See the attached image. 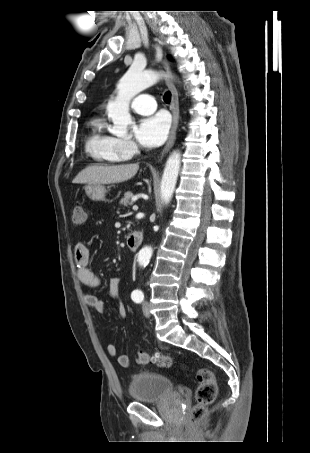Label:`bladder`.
I'll use <instances>...</instances> for the list:
<instances>
[{"label": "bladder", "mask_w": 310, "mask_h": 453, "mask_svg": "<svg viewBox=\"0 0 310 453\" xmlns=\"http://www.w3.org/2000/svg\"><path fill=\"white\" fill-rule=\"evenodd\" d=\"M128 393L134 402L149 403L166 400L176 394L173 382L155 372H139L132 376Z\"/></svg>", "instance_id": "obj_1"}]
</instances>
